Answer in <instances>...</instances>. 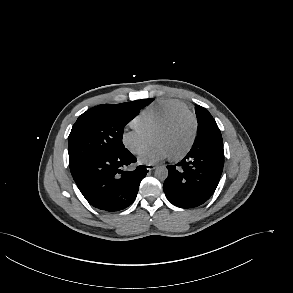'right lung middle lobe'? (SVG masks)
I'll list each match as a JSON object with an SVG mask.
<instances>
[{
  "mask_svg": "<svg viewBox=\"0 0 293 293\" xmlns=\"http://www.w3.org/2000/svg\"><path fill=\"white\" fill-rule=\"evenodd\" d=\"M153 99L98 105L79 116L68 137L69 167L74 170L95 157L125 149V125Z\"/></svg>",
  "mask_w": 293,
  "mask_h": 293,
  "instance_id": "1",
  "label": "right lung middle lobe"
}]
</instances>
